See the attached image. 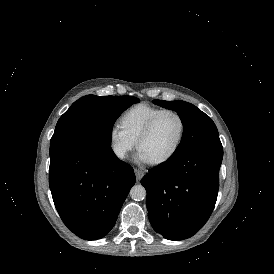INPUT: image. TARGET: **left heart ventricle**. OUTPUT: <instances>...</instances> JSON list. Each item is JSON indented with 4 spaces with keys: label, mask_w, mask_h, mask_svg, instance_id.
I'll return each mask as SVG.
<instances>
[{
    "label": "left heart ventricle",
    "mask_w": 274,
    "mask_h": 274,
    "mask_svg": "<svg viewBox=\"0 0 274 274\" xmlns=\"http://www.w3.org/2000/svg\"><path fill=\"white\" fill-rule=\"evenodd\" d=\"M180 130V121L172 113L164 114L151 133L141 141L139 152L147 162L165 157L173 148Z\"/></svg>",
    "instance_id": "left-heart-ventricle-1"
}]
</instances>
